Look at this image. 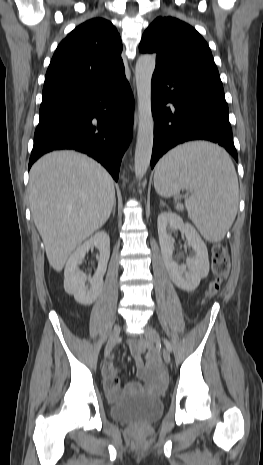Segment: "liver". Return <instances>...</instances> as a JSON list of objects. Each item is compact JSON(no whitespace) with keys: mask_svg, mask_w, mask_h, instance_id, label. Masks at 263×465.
Segmentation results:
<instances>
[{"mask_svg":"<svg viewBox=\"0 0 263 465\" xmlns=\"http://www.w3.org/2000/svg\"><path fill=\"white\" fill-rule=\"evenodd\" d=\"M29 202L50 266L60 272L68 257L108 220L115 204L110 174L75 151H55L30 170Z\"/></svg>","mask_w":263,"mask_h":465,"instance_id":"1","label":"liver"}]
</instances>
